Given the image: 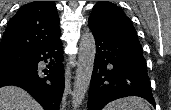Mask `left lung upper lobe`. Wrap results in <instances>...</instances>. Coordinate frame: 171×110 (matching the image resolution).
<instances>
[{"label":"left lung upper lobe","instance_id":"5c2ea615","mask_svg":"<svg viewBox=\"0 0 171 110\" xmlns=\"http://www.w3.org/2000/svg\"><path fill=\"white\" fill-rule=\"evenodd\" d=\"M89 20L110 35L142 48L131 20L115 4L108 1H99L93 7Z\"/></svg>","mask_w":171,"mask_h":110}]
</instances>
